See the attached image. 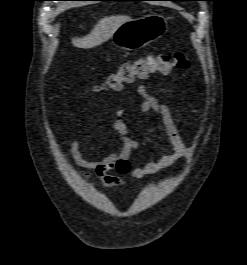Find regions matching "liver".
I'll return each mask as SVG.
<instances>
[{"mask_svg":"<svg viewBox=\"0 0 247 265\" xmlns=\"http://www.w3.org/2000/svg\"><path fill=\"white\" fill-rule=\"evenodd\" d=\"M131 20L126 15H116L100 19L91 32L81 38H73L72 44L77 48L89 49L109 40L116 30L125 22Z\"/></svg>","mask_w":247,"mask_h":265,"instance_id":"obj_1","label":"liver"}]
</instances>
